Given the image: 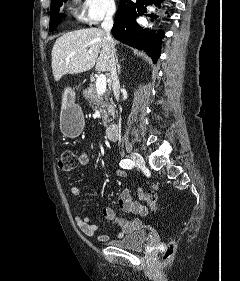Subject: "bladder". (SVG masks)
Instances as JSON below:
<instances>
[{"label": "bladder", "instance_id": "obj_1", "mask_svg": "<svg viewBox=\"0 0 240 281\" xmlns=\"http://www.w3.org/2000/svg\"><path fill=\"white\" fill-rule=\"evenodd\" d=\"M147 240L148 232L145 229H138L121 238L112 240L110 244L121 249L136 250L143 247Z\"/></svg>", "mask_w": 240, "mask_h": 281}]
</instances>
